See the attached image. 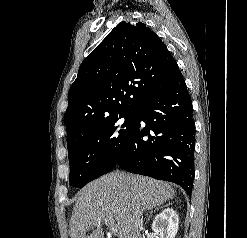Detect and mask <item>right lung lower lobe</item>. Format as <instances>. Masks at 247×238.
<instances>
[{"mask_svg": "<svg viewBox=\"0 0 247 238\" xmlns=\"http://www.w3.org/2000/svg\"><path fill=\"white\" fill-rule=\"evenodd\" d=\"M192 111L191 97L179 71L164 90L135 112V126L116 166L174 182L190 195L195 174Z\"/></svg>", "mask_w": 247, "mask_h": 238, "instance_id": "1", "label": "right lung lower lobe"}]
</instances>
